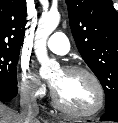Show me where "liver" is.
<instances>
[{"instance_id": "liver-1", "label": "liver", "mask_w": 118, "mask_h": 123, "mask_svg": "<svg viewBox=\"0 0 118 123\" xmlns=\"http://www.w3.org/2000/svg\"><path fill=\"white\" fill-rule=\"evenodd\" d=\"M0 123H23V120L20 114L0 102Z\"/></svg>"}]
</instances>
